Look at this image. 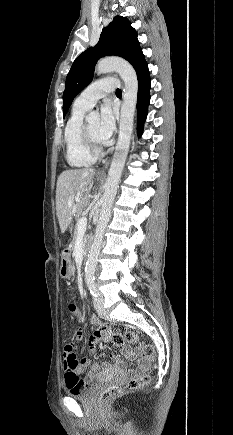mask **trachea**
<instances>
[{
  "label": "trachea",
  "instance_id": "obj_1",
  "mask_svg": "<svg viewBox=\"0 0 233 435\" xmlns=\"http://www.w3.org/2000/svg\"><path fill=\"white\" fill-rule=\"evenodd\" d=\"M116 93L121 94L122 92L120 89H117Z\"/></svg>",
  "mask_w": 233,
  "mask_h": 435
}]
</instances>
